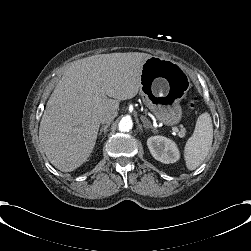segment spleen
<instances>
[{"instance_id":"1","label":"spleen","mask_w":251,"mask_h":251,"mask_svg":"<svg viewBox=\"0 0 251 251\" xmlns=\"http://www.w3.org/2000/svg\"><path fill=\"white\" fill-rule=\"evenodd\" d=\"M213 139L212 120L208 113H202L196 120L193 134L185 146L187 167L196 169L207 157Z\"/></svg>"}]
</instances>
